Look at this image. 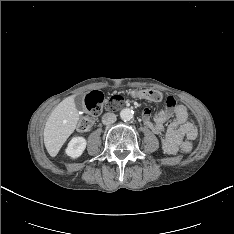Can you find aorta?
Segmentation results:
<instances>
[{
    "label": "aorta",
    "mask_w": 234,
    "mask_h": 234,
    "mask_svg": "<svg viewBox=\"0 0 234 234\" xmlns=\"http://www.w3.org/2000/svg\"><path fill=\"white\" fill-rule=\"evenodd\" d=\"M133 114L134 112L131 109L125 108L121 110L120 117L124 121H129L133 118Z\"/></svg>",
    "instance_id": "aorta-1"
}]
</instances>
